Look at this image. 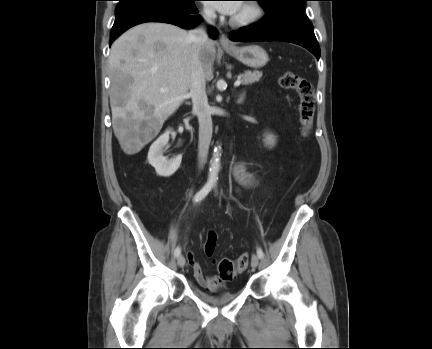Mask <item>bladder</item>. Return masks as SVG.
Returning a JSON list of instances; mask_svg holds the SVG:
<instances>
[{
    "instance_id": "obj_1",
    "label": "bladder",
    "mask_w": 432,
    "mask_h": 349,
    "mask_svg": "<svg viewBox=\"0 0 432 349\" xmlns=\"http://www.w3.org/2000/svg\"><path fill=\"white\" fill-rule=\"evenodd\" d=\"M195 295L204 302L212 305L225 304L235 297L234 294L228 291H222L214 294L199 288L195 289Z\"/></svg>"
}]
</instances>
